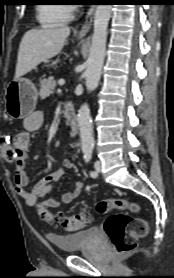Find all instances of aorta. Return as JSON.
<instances>
[{
	"label": "aorta",
	"mask_w": 174,
	"mask_h": 278,
	"mask_svg": "<svg viewBox=\"0 0 174 278\" xmlns=\"http://www.w3.org/2000/svg\"><path fill=\"white\" fill-rule=\"evenodd\" d=\"M112 5H97L94 17V29L92 43L85 71L86 88L88 92L98 87L102 67L105 58L107 27L111 17ZM78 126L83 151H92L94 148V137L92 133V121L90 109L84 103L78 113Z\"/></svg>",
	"instance_id": "aorta-1"
}]
</instances>
